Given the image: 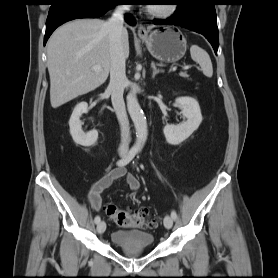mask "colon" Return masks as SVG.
I'll list each match as a JSON object with an SVG mask.
<instances>
[{"label":"colon","mask_w":278,"mask_h":278,"mask_svg":"<svg viewBox=\"0 0 278 278\" xmlns=\"http://www.w3.org/2000/svg\"><path fill=\"white\" fill-rule=\"evenodd\" d=\"M105 212L117 225L124 228L147 229L157 224V220L146 211H129L115 204H108Z\"/></svg>","instance_id":"1"}]
</instances>
